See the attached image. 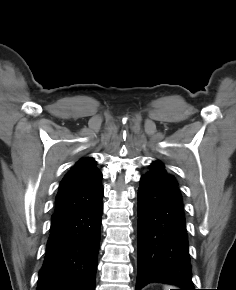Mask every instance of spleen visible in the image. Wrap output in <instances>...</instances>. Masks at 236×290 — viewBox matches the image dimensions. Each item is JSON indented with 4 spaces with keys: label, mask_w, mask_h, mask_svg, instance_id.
<instances>
[{
    "label": "spleen",
    "mask_w": 236,
    "mask_h": 290,
    "mask_svg": "<svg viewBox=\"0 0 236 290\" xmlns=\"http://www.w3.org/2000/svg\"><path fill=\"white\" fill-rule=\"evenodd\" d=\"M169 289H170V287L169 286H166L164 290H169Z\"/></svg>",
    "instance_id": "3e777b00"
}]
</instances>
